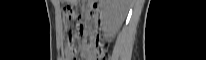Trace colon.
Segmentation results:
<instances>
[{"label": "colon", "mask_w": 206, "mask_h": 60, "mask_svg": "<svg viewBox=\"0 0 206 60\" xmlns=\"http://www.w3.org/2000/svg\"><path fill=\"white\" fill-rule=\"evenodd\" d=\"M64 23L66 27L69 48L73 53L72 45L79 37L80 21L75 9L71 6H65L63 9ZM95 55L97 60H108V53L105 46L98 40L95 42Z\"/></svg>", "instance_id": "colon-1"}]
</instances>
